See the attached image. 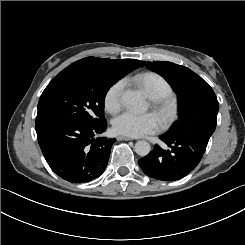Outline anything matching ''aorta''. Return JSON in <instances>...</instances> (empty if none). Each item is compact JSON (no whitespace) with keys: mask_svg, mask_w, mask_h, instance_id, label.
<instances>
[{"mask_svg":"<svg viewBox=\"0 0 245 245\" xmlns=\"http://www.w3.org/2000/svg\"><path fill=\"white\" fill-rule=\"evenodd\" d=\"M122 102L127 107L136 111L145 110L147 107L146 101L142 94L134 90H126L122 94ZM134 149L139 156H147L151 151V146L147 141L141 140L136 142Z\"/></svg>","mask_w":245,"mask_h":245,"instance_id":"762f6f07","label":"aorta"}]
</instances>
